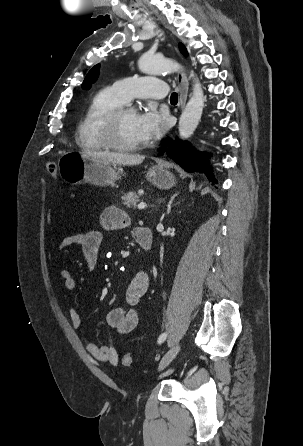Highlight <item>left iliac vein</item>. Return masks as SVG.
<instances>
[{
    "instance_id": "obj_1",
    "label": "left iliac vein",
    "mask_w": 303,
    "mask_h": 446,
    "mask_svg": "<svg viewBox=\"0 0 303 446\" xmlns=\"http://www.w3.org/2000/svg\"><path fill=\"white\" fill-rule=\"evenodd\" d=\"M180 348H181L180 344H177L173 346L171 349H169L168 352L162 357L158 366V370L161 371L165 367H167L170 364V362L176 357V355L180 351Z\"/></svg>"
}]
</instances>
